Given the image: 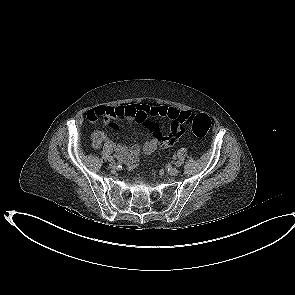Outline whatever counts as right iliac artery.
<instances>
[{
    "label": "right iliac artery",
    "instance_id": "1",
    "mask_svg": "<svg viewBox=\"0 0 295 295\" xmlns=\"http://www.w3.org/2000/svg\"><path fill=\"white\" fill-rule=\"evenodd\" d=\"M109 161H110V162H111V161L113 162V161H114L113 157H111V158L109 159Z\"/></svg>",
    "mask_w": 295,
    "mask_h": 295
}]
</instances>
